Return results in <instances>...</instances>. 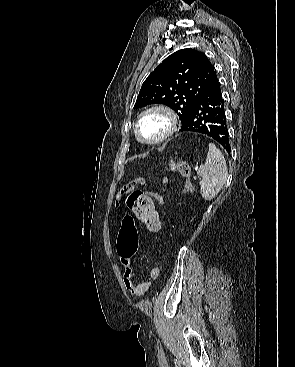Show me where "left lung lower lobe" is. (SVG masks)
I'll return each instance as SVG.
<instances>
[{"label":"left lung lower lobe","mask_w":295,"mask_h":367,"mask_svg":"<svg viewBox=\"0 0 295 367\" xmlns=\"http://www.w3.org/2000/svg\"><path fill=\"white\" fill-rule=\"evenodd\" d=\"M189 131L207 135L220 143L228 153L231 151L225 104L215 72L182 122L181 132Z\"/></svg>","instance_id":"left-lung-lower-lobe-1"}]
</instances>
